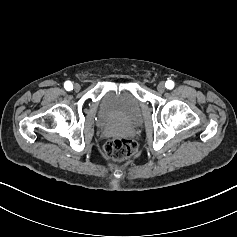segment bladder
<instances>
[{"mask_svg": "<svg viewBox=\"0 0 237 237\" xmlns=\"http://www.w3.org/2000/svg\"><path fill=\"white\" fill-rule=\"evenodd\" d=\"M142 116L141 101L126 88L109 91L100 101L98 121L102 125H136Z\"/></svg>", "mask_w": 237, "mask_h": 237, "instance_id": "1", "label": "bladder"}]
</instances>
